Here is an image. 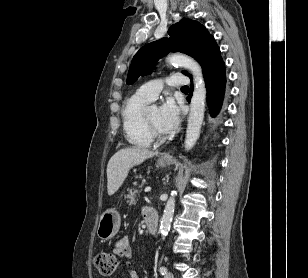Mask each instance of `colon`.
<instances>
[{"label": "colon", "mask_w": 308, "mask_h": 278, "mask_svg": "<svg viewBox=\"0 0 308 278\" xmlns=\"http://www.w3.org/2000/svg\"><path fill=\"white\" fill-rule=\"evenodd\" d=\"M95 266L102 275L110 276L117 269V255L110 252H100L95 256Z\"/></svg>", "instance_id": "obj_1"}]
</instances>
